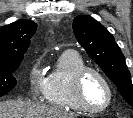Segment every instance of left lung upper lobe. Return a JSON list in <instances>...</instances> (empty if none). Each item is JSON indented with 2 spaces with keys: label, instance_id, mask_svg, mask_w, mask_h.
I'll list each match as a JSON object with an SVG mask.
<instances>
[{
  "label": "left lung upper lobe",
  "instance_id": "left-lung-upper-lobe-1",
  "mask_svg": "<svg viewBox=\"0 0 133 118\" xmlns=\"http://www.w3.org/2000/svg\"><path fill=\"white\" fill-rule=\"evenodd\" d=\"M73 31L88 55L116 84L122 97L133 107L131 75L114 37L103 25L87 15H79L74 19Z\"/></svg>",
  "mask_w": 133,
  "mask_h": 118
}]
</instances>
